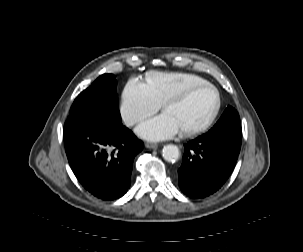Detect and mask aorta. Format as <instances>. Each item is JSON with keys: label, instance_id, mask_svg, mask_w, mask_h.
<instances>
[{"label": "aorta", "instance_id": "762f6f07", "mask_svg": "<svg viewBox=\"0 0 303 252\" xmlns=\"http://www.w3.org/2000/svg\"><path fill=\"white\" fill-rule=\"evenodd\" d=\"M162 156L168 162H175L180 156L179 148L176 145L168 144L164 146Z\"/></svg>", "mask_w": 303, "mask_h": 252}]
</instances>
